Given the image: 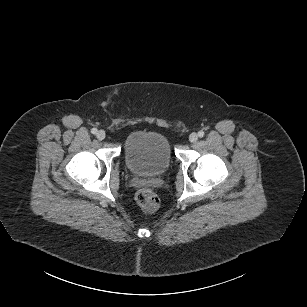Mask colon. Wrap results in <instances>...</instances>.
I'll return each mask as SVG.
<instances>
[{
	"mask_svg": "<svg viewBox=\"0 0 307 307\" xmlns=\"http://www.w3.org/2000/svg\"><path fill=\"white\" fill-rule=\"evenodd\" d=\"M136 201L139 207L145 212H153L159 205L157 195L150 189H141L138 191Z\"/></svg>",
	"mask_w": 307,
	"mask_h": 307,
	"instance_id": "1",
	"label": "colon"
}]
</instances>
